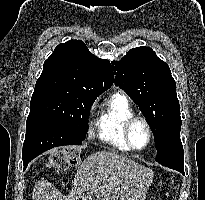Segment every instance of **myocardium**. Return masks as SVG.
Returning <instances> with one entry per match:
<instances>
[{"label":"myocardium","mask_w":205,"mask_h":200,"mask_svg":"<svg viewBox=\"0 0 205 200\" xmlns=\"http://www.w3.org/2000/svg\"><path fill=\"white\" fill-rule=\"evenodd\" d=\"M136 122H142L148 131L147 144L142 148L135 147L132 143V140H131V129ZM123 135H124V139H125L127 145L131 148V150H135V151L145 150L146 148L149 147V145L151 144V142L153 140V131H152V127H151L150 123L148 122V120L146 118H144L142 116H137V115L132 116L131 118H129L125 122L124 127H123Z\"/></svg>","instance_id":"obj_1"}]
</instances>
